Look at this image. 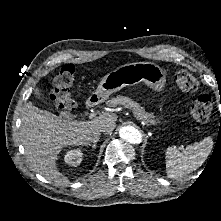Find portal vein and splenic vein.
I'll return each instance as SVG.
<instances>
[{"label":"portal vein and splenic vein","instance_id":"obj_1","mask_svg":"<svg viewBox=\"0 0 221 221\" xmlns=\"http://www.w3.org/2000/svg\"><path fill=\"white\" fill-rule=\"evenodd\" d=\"M93 117V115H90V118H92Z\"/></svg>","mask_w":221,"mask_h":221}]
</instances>
